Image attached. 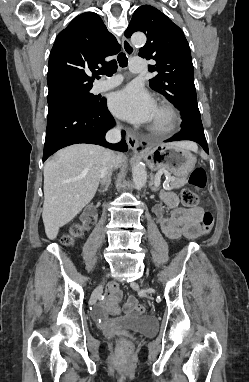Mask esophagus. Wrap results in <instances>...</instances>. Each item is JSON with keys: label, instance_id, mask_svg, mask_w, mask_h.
I'll return each mask as SVG.
<instances>
[{"label": "esophagus", "instance_id": "obj_1", "mask_svg": "<svg viewBox=\"0 0 249 382\" xmlns=\"http://www.w3.org/2000/svg\"><path fill=\"white\" fill-rule=\"evenodd\" d=\"M122 48H123V51L127 55H132L134 53V51H135L134 46L125 37L122 38ZM126 139H127V143H128L129 148L131 150L137 152V148H138V139H137V137L133 133H131L130 131H127Z\"/></svg>", "mask_w": 249, "mask_h": 382}]
</instances>
